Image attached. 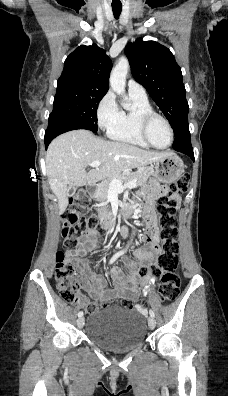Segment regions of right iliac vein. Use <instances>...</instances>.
<instances>
[{
	"label": "right iliac vein",
	"instance_id": "right-iliac-vein-1",
	"mask_svg": "<svg viewBox=\"0 0 228 396\" xmlns=\"http://www.w3.org/2000/svg\"><path fill=\"white\" fill-rule=\"evenodd\" d=\"M84 322H85L84 317H80V318L77 320V326H78L79 328H82L83 325H84Z\"/></svg>",
	"mask_w": 228,
	"mask_h": 396
}]
</instances>
